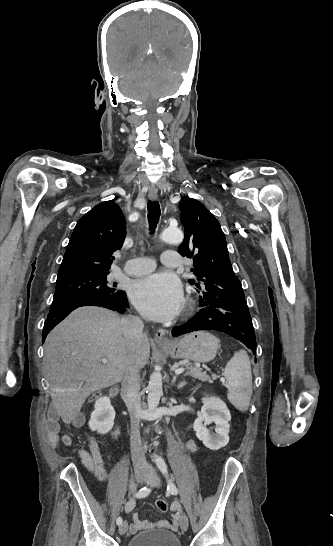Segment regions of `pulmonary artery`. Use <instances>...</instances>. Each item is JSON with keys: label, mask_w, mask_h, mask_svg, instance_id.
I'll return each instance as SVG.
<instances>
[{"label": "pulmonary artery", "mask_w": 333, "mask_h": 546, "mask_svg": "<svg viewBox=\"0 0 333 546\" xmlns=\"http://www.w3.org/2000/svg\"><path fill=\"white\" fill-rule=\"evenodd\" d=\"M161 262L167 267L176 268L180 266L181 258L176 251H165L161 256ZM155 266L154 259L139 257L129 260L123 270L128 275H143L152 272Z\"/></svg>", "instance_id": "e3ab8cb5"}]
</instances>
